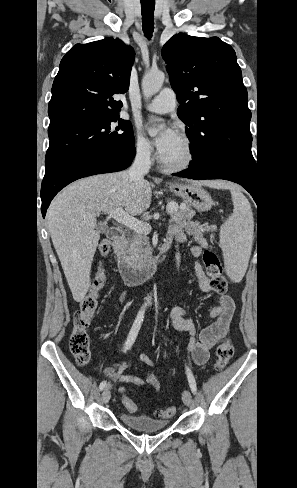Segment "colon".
Instances as JSON below:
<instances>
[{"instance_id":"obj_1","label":"colon","mask_w":297,"mask_h":488,"mask_svg":"<svg viewBox=\"0 0 297 488\" xmlns=\"http://www.w3.org/2000/svg\"><path fill=\"white\" fill-rule=\"evenodd\" d=\"M109 251L110 244L108 242H102L99 245L98 252L101 257H105ZM203 260L212 289L217 293H225L228 287V282L224 276L223 266L218 256L214 252L206 250L203 255ZM104 279V270L101 263H99L97 273L89 292L81 301L73 316V331L70 337V350L79 366L86 365L90 359V334L88 328L98 306L99 291L104 285ZM232 355L233 346L229 340H226L219 345L216 350L215 369L217 371L224 369ZM120 397L128 411H137V406L127 396L126 391H121ZM175 412L176 409L174 407H168L156 410L155 416L161 419H168L173 417Z\"/></svg>"}]
</instances>
